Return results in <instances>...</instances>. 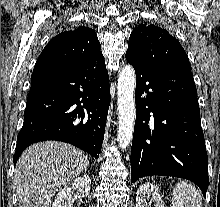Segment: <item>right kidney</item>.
I'll return each instance as SVG.
<instances>
[{"mask_svg":"<svg viewBox=\"0 0 220 207\" xmlns=\"http://www.w3.org/2000/svg\"><path fill=\"white\" fill-rule=\"evenodd\" d=\"M91 179L88 175H83L76 178L71 186H65L59 190L52 207H72L73 201L71 199L72 190H76L80 197H87L90 192Z\"/></svg>","mask_w":220,"mask_h":207,"instance_id":"obj_1","label":"right kidney"}]
</instances>
